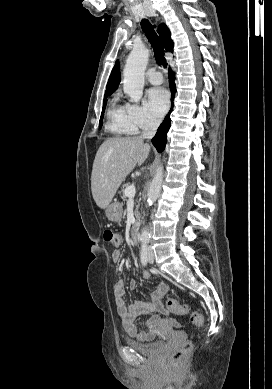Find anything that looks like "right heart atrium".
Wrapping results in <instances>:
<instances>
[{
    "mask_svg": "<svg viewBox=\"0 0 272 389\" xmlns=\"http://www.w3.org/2000/svg\"><path fill=\"white\" fill-rule=\"evenodd\" d=\"M127 107L131 121L137 130H147L157 125V120L144 106L130 103Z\"/></svg>",
    "mask_w": 272,
    "mask_h": 389,
    "instance_id": "obj_1",
    "label": "right heart atrium"
}]
</instances>
